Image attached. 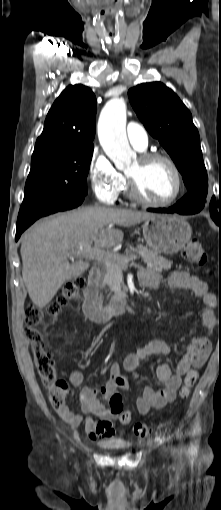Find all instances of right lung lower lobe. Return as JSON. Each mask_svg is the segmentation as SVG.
Returning <instances> with one entry per match:
<instances>
[{"instance_id": "98d812e1", "label": "right lung lower lobe", "mask_w": 221, "mask_h": 510, "mask_svg": "<svg viewBox=\"0 0 221 510\" xmlns=\"http://www.w3.org/2000/svg\"><path fill=\"white\" fill-rule=\"evenodd\" d=\"M84 198L68 202L66 204L51 207L45 211L37 212L36 214H32V211L20 208L18 220H17V230H16V237L15 240L17 241L19 237L21 236L22 232L27 229L34 221H36L38 218L58 212V211H64L68 209L75 208L79 206L83 202Z\"/></svg>"}]
</instances>
